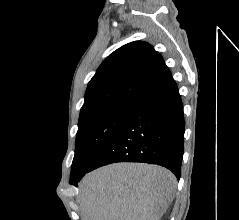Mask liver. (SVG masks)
Listing matches in <instances>:
<instances>
[{"label":"liver","instance_id":"liver-1","mask_svg":"<svg viewBox=\"0 0 239 220\" xmlns=\"http://www.w3.org/2000/svg\"><path fill=\"white\" fill-rule=\"evenodd\" d=\"M177 180L165 168L115 163L80 182L83 220H160L175 196Z\"/></svg>","mask_w":239,"mask_h":220}]
</instances>
